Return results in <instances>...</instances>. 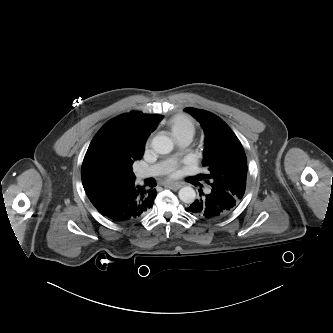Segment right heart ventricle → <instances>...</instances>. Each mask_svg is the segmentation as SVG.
Returning <instances> with one entry per match:
<instances>
[{
    "label": "right heart ventricle",
    "mask_w": 333,
    "mask_h": 333,
    "mask_svg": "<svg viewBox=\"0 0 333 333\" xmlns=\"http://www.w3.org/2000/svg\"><path fill=\"white\" fill-rule=\"evenodd\" d=\"M171 134L178 139L184 135H193L195 126L190 117L185 114H178L172 117L167 123Z\"/></svg>",
    "instance_id": "e07e8e85"
}]
</instances>
